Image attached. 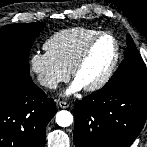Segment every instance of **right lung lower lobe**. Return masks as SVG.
<instances>
[{
  "label": "right lung lower lobe",
  "mask_w": 147,
  "mask_h": 147,
  "mask_svg": "<svg viewBox=\"0 0 147 147\" xmlns=\"http://www.w3.org/2000/svg\"><path fill=\"white\" fill-rule=\"evenodd\" d=\"M55 113L54 100L29 74L0 65V147H43Z\"/></svg>",
  "instance_id": "obj_1"
}]
</instances>
